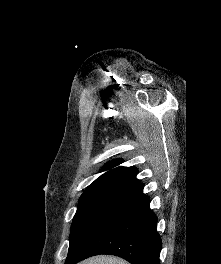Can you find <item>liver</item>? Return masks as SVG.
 I'll return each mask as SVG.
<instances>
[{
    "mask_svg": "<svg viewBox=\"0 0 221 264\" xmlns=\"http://www.w3.org/2000/svg\"><path fill=\"white\" fill-rule=\"evenodd\" d=\"M79 264H129L121 258L113 256H97L86 259Z\"/></svg>",
    "mask_w": 221,
    "mask_h": 264,
    "instance_id": "obj_1",
    "label": "liver"
}]
</instances>
